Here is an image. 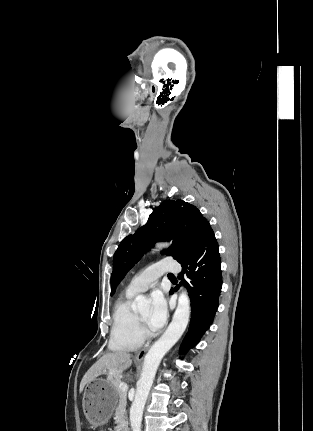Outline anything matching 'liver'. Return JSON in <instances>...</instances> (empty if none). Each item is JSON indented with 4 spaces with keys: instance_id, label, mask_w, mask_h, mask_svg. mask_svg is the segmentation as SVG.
<instances>
[{
    "instance_id": "6515ba94",
    "label": "liver",
    "mask_w": 313,
    "mask_h": 431,
    "mask_svg": "<svg viewBox=\"0 0 313 431\" xmlns=\"http://www.w3.org/2000/svg\"><path fill=\"white\" fill-rule=\"evenodd\" d=\"M131 364V355L127 352L117 351L105 354L83 376L80 383V393L87 383L96 379L99 375L107 372L109 378L118 376L128 369Z\"/></svg>"
}]
</instances>
